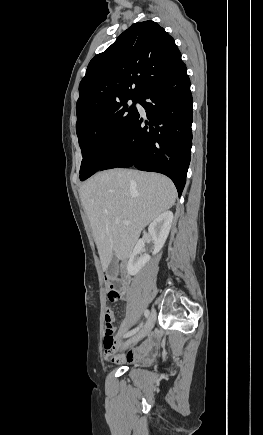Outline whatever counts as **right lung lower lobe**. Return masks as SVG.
<instances>
[{
  "label": "right lung lower lobe",
  "mask_w": 263,
  "mask_h": 435,
  "mask_svg": "<svg viewBox=\"0 0 263 435\" xmlns=\"http://www.w3.org/2000/svg\"><path fill=\"white\" fill-rule=\"evenodd\" d=\"M149 121L139 113L129 132L99 169L134 166L165 174L181 196L192 147V95L186 65L149 88L139 99Z\"/></svg>",
  "instance_id": "right-lung-lower-lobe-1"
}]
</instances>
